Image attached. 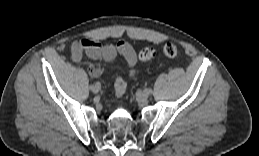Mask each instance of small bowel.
I'll list each match as a JSON object with an SVG mask.
<instances>
[{"label": "small bowel", "instance_id": "obj_1", "mask_svg": "<svg viewBox=\"0 0 259 156\" xmlns=\"http://www.w3.org/2000/svg\"><path fill=\"white\" fill-rule=\"evenodd\" d=\"M83 54L91 59L112 61L117 55L122 56L130 68V76L135 74L137 63L136 53L133 47L125 42L120 41L117 44H101L93 39L82 38L74 41L70 47V56L73 62L79 63ZM89 74L92 77H98L102 74V68L97 65L89 66Z\"/></svg>", "mask_w": 259, "mask_h": 156}]
</instances>
